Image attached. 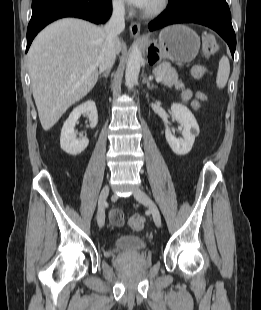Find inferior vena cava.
I'll use <instances>...</instances> for the list:
<instances>
[{
    "label": "inferior vena cava",
    "instance_id": "obj_1",
    "mask_svg": "<svg viewBox=\"0 0 261 310\" xmlns=\"http://www.w3.org/2000/svg\"><path fill=\"white\" fill-rule=\"evenodd\" d=\"M125 8L122 2L113 4V11L110 19L105 25V41L103 43L99 56V71H110L114 65L116 58L115 43L118 40V35L125 28Z\"/></svg>",
    "mask_w": 261,
    "mask_h": 310
}]
</instances>
